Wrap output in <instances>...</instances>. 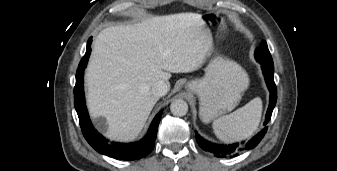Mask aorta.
Segmentation results:
<instances>
[{
    "label": "aorta",
    "mask_w": 337,
    "mask_h": 171,
    "mask_svg": "<svg viewBox=\"0 0 337 171\" xmlns=\"http://www.w3.org/2000/svg\"><path fill=\"white\" fill-rule=\"evenodd\" d=\"M170 110L173 115L182 117L188 112V104L183 99H175L170 105Z\"/></svg>",
    "instance_id": "1"
}]
</instances>
